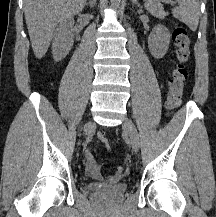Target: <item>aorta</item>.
Here are the masks:
<instances>
[{"instance_id": "obj_1", "label": "aorta", "mask_w": 216, "mask_h": 217, "mask_svg": "<svg viewBox=\"0 0 216 217\" xmlns=\"http://www.w3.org/2000/svg\"><path fill=\"white\" fill-rule=\"evenodd\" d=\"M120 2H121V0H111V4L115 8L119 7Z\"/></svg>"}]
</instances>
